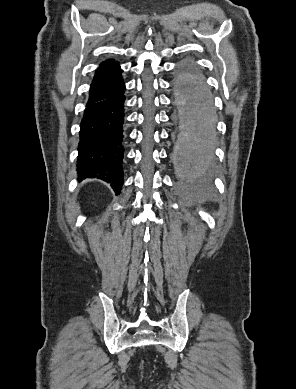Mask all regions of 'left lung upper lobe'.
<instances>
[{
    "instance_id": "obj_1",
    "label": "left lung upper lobe",
    "mask_w": 296,
    "mask_h": 389,
    "mask_svg": "<svg viewBox=\"0 0 296 389\" xmlns=\"http://www.w3.org/2000/svg\"><path fill=\"white\" fill-rule=\"evenodd\" d=\"M197 83H202V85L204 87L206 85L202 76L197 72L195 67L190 63H185L181 68V74L177 80V86L183 91V90H186V89L194 86ZM181 95H182V99H183L182 101L185 103V107H186L187 100H186L185 96L183 95V93H181ZM182 116L184 117V119H186V121H188L189 125H190V123H192L193 118H192V115L187 110V108L182 113ZM188 134H189V131L185 136L188 137Z\"/></svg>"
}]
</instances>
